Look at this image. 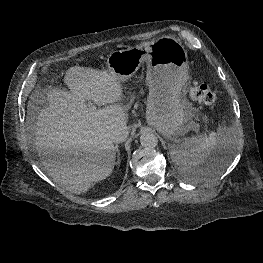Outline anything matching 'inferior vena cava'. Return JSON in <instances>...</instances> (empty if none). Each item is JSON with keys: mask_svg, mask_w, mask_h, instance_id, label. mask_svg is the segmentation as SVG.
Returning <instances> with one entry per match:
<instances>
[{"mask_svg": "<svg viewBox=\"0 0 263 263\" xmlns=\"http://www.w3.org/2000/svg\"><path fill=\"white\" fill-rule=\"evenodd\" d=\"M128 134H129V131L127 127L124 126V127H119V128L114 129L111 132L110 137L113 143H121L126 140Z\"/></svg>", "mask_w": 263, "mask_h": 263, "instance_id": "obj_1", "label": "inferior vena cava"}]
</instances>
